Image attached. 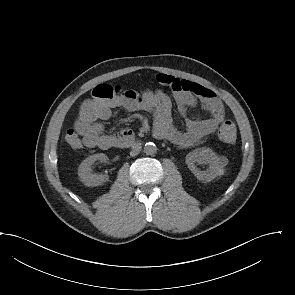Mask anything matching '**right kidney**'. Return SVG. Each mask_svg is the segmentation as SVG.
Listing matches in <instances>:
<instances>
[{
	"instance_id": "1",
	"label": "right kidney",
	"mask_w": 295,
	"mask_h": 295,
	"mask_svg": "<svg viewBox=\"0 0 295 295\" xmlns=\"http://www.w3.org/2000/svg\"><path fill=\"white\" fill-rule=\"evenodd\" d=\"M97 160L106 162L108 157L103 153L94 154L83 160L79 166L78 175L80 180L88 187L103 185L109 179L108 175L92 173L91 166Z\"/></svg>"
}]
</instances>
